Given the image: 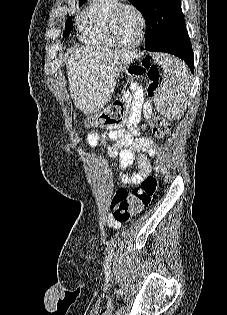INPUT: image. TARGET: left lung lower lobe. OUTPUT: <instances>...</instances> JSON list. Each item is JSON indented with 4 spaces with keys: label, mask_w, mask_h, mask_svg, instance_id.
<instances>
[{
    "label": "left lung lower lobe",
    "mask_w": 227,
    "mask_h": 315,
    "mask_svg": "<svg viewBox=\"0 0 227 315\" xmlns=\"http://www.w3.org/2000/svg\"><path fill=\"white\" fill-rule=\"evenodd\" d=\"M152 52H166L181 58L186 62L191 71H194V59L191 42L186 30L166 38L156 45H145L144 47Z\"/></svg>",
    "instance_id": "0a47b994"
}]
</instances>
